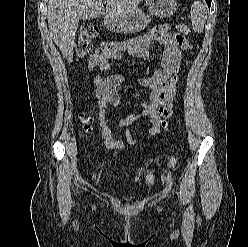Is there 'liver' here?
<instances>
[{
	"mask_svg": "<svg viewBox=\"0 0 248 247\" xmlns=\"http://www.w3.org/2000/svg\"><path fill=\"white\" fill-rule=\"evenodd\" d=\"M48 27L55 44L70 63L79 20L94 19L100 15L110 18L127 17L137 10L143 0H108L106 13L104 0H47Z\"/></svg>",
	"mask_w": 248,
	"mask_h": 247,
	"instance_id": "6515ba94",
	"label": "liver"
}]
</instances>
